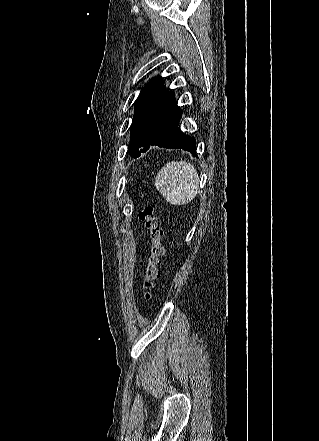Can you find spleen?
<instances>
[{
    "mask_svg": "<svg viewBox=\"0 0 319 441\" xmlns=\"http://www.w3.org/2000/svg\"><path fill=\"white\" fill-rule=\"evenodd\" d=\"M157 190L172 205H183L199 191L196 168L187 161H172L164 165L155 179Z\"/></svg>",
    "mask_w": 319,
    "mask_h": 441,
    "instance_id": "obj_1",
    "label": "spleen"
}]
</instances>
